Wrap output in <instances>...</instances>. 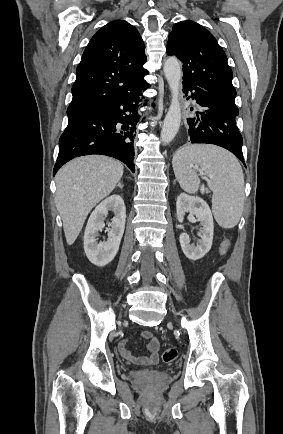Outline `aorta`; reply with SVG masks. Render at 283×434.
<instances>
[{"label":"aorta","instance_id":"aorta-1","mask_svg":"<svg viewBox=\"0 0 283 434\" xmlns=\"http://www.w3.org/2000/svg\"><path fill=\"white\" fill-rule=\"evenodd\" d=\"M164 75L171 92V104L161 130V141L166 144L174 139L181 123L180 88L182 81L181 65L177 58L169 57L164 62Z\"/></svg>","mask_w":283,"mask_h":434}]
</instances>
